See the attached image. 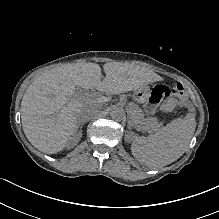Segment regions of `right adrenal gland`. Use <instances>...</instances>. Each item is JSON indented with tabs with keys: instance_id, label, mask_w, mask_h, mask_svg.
Wrapping results in <instances>:
<instances>
[{
	"instance_id": "right-adrenal-gland-1",
	"label": "right adrenal gland",
	"mask_w": 219,
	"mask_h": 219,
	"mask_svg": "<svg viewBox=\"0 0 219 219\" xmlns=\"http://www.w3.org/2000/svg\"><path fill=\"white\" fill-rule=\"evenodd\" d=\"M83 125H84L83 121H78V126H77V129L75 130V134L78 132L80 136L82 135Z\"/></svg>"
}]
</instances>
